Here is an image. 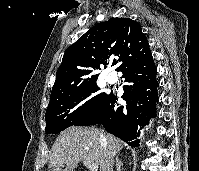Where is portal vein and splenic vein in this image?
<instances>
[{
  "label": "portal vein and splenic vein",
  "mask_w": 199,
  "mask_h": 171,
  "mask_svg": "<svg viewBox=\"0 0 199 171\" xmlns=\"http://www.w3.org/2000/svg\"><path fill=\"white\" fill-rule=\"evenodd\" d=\"M84 166H86L90 171H98V164L90 161H83Z\"/></svg>",
  "instance_id": "obj_1"
}]
</instances>
